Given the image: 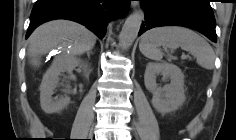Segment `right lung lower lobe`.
I'll use <instances>...</instances> for the list:
<instances>
[{
  "label": "right lung lower lobe",
  "mask_w": 236,
  "mask_h": 140,
  "mask_svg": "<svg viewBox=\"0 0 236 140\" xmlns=\"http://www.w3.org/2000/svg\"><path fill=\"white\" fill-rule=\"evenodd\" d=\"M130 0H37L26 38L40 24L53 19H69L85 25L99 38L105 35L107 22L124 17Z\"/></svg>",
  "instance_id": "1"
}]
</instances>
